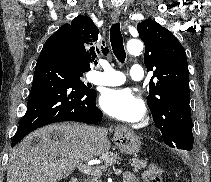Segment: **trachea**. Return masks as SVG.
Returning <instances> with one entry per match:
<instances>
[{
  "instance_id": "obj_1",
  "label": "trachea",
  "mask_w": 211,
  "mask_h": 182,
  "mask_svg": "<svg viewBox=\"0 0 211 182\" xmlns=\"http://www.w3.org/2000/svg\"><path fill=\"white\" fill-rule=\"evenodd\" d=\"M110 42L112 50L119 62L124 63L126 52L123 44V37L120 31L119 23H114L110 29Z\"/></svg>"
}]
</instances>
